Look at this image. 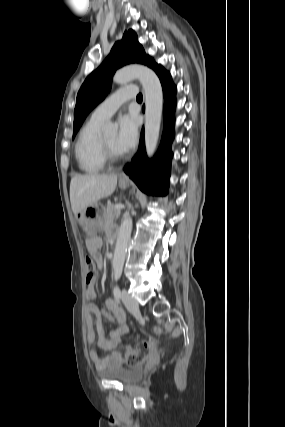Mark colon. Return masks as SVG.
<instances>
[{"label":"colon","mask_w":285,"mask_h":427,"mask_svg":"<svg viewBox=\"0 0 285 427\" xmlns=\"http://www.w3.org/2000/svg\"><path fill=\"white\" fill-rule=\"evenodd\" d=\"M86 282L89 284L93 281L96 274V265L92 258L86 257ZM159 332V329H155ZM154 351V344L152 341H142L136 345L135 348H128L125 354V363L127 366H135L145 359H147Z\"/></svg>","instance_id":"1"}]
</instances>
